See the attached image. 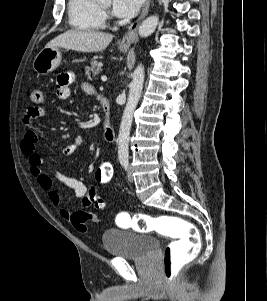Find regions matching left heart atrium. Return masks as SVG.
Instances as JSON below:
<instances>
[{
	"label": "left heart atrium",
	"mask_w": 267,
	"mask_h": 301,
	"mask_svg": "<svg viewBox=\"0 0 267 301\" xmlns=\"http://www.w3.org/2000/svg\"><path fill=\"white\" fill-rule=\"evenodd\" d=\"M143 0H112V13L120 18H131L139 10Z\"/></svg>",
	"instance_id": "left-heart-atrium-1"
}]
</instances>
